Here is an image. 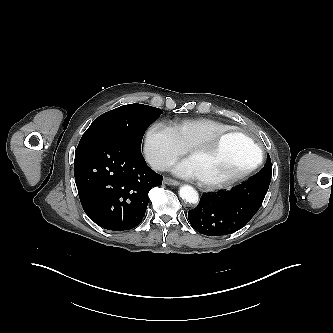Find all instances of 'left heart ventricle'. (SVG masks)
<instances>
[{
	"label": "left heart ventricle",
	"instance_id": "1",
	"mask_svg": "<svg viewBox=\"0 0 333 333\" xmlns=\"http://www.w3.org/2000/svg\"><path fill=\"white\" fill-rule=\"evenodd\" d=\"M252 142L241 134H232L211 151L190 157L197 177L206 180L227 178L249 166L256 158Z\"/></svg>",
	"mask_w": 333,
	"mask_h": 333
}]
</instances>
